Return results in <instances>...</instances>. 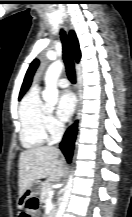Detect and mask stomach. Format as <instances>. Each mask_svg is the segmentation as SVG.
Segmentation results:
<instances>
[{"label":"stomach","instance_id":"obj_1","mask_svg":"<svg viewBox=\"0 0 132 217\" xmlns=\"http://www.w3.org/2000/svg\"><path fill=\"white\" fill-rule=\"evenodd\" d=\"M41 191V183L39 181H34L25 191L26 199L38 196Z\"/></svg>","mask_w":132,"mask_h":217}]
</instances>
